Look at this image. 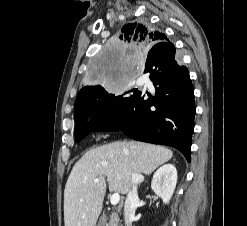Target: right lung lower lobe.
Wrapping results in <instances>:
<instances>
[{"label": "right lung lower lobe", "instance_id": "98d812e1", "mask_svg": "<svg viewBox=\"0 0 247 226\" xmlns=\"http://www.w3.org/2000/svg\"><path fill=\"white\" fill-rule=\"evenodd\" d=\"M147 72L156 94L145 100L141 91L133 90L97 130L123 131L135 140L172 146L190 162L196 108L188 69L175 58V47L165 42L150 47Z\"/></svg>", "mask_w": 247, "mask_h": 226}]
</instances>
